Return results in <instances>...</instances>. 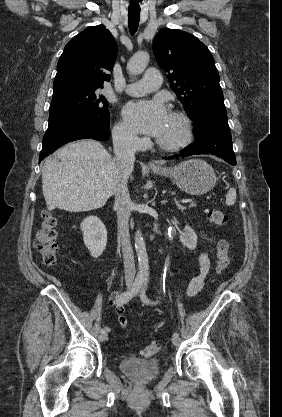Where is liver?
<instances>
[{"label": "liver", "mask_w": 282, "mask_h": 417, "mask_svg": "<svg viewBox=\"0 0 282 417\" xmlns=\"http://www.w3.org/2000/svg\"><path fill=\"white\" fill-rule=\"evenodd\" d=\"M57 158H47L42 170L48 211L101 209L116 186V164L103 144L92 138L69 142L57 150Z\"/></svg>", "instance_id": "liver-1"}]
</instances>
